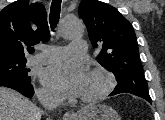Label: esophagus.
<instances>
[{
    "mask_svg": "<svg viewBox=\"0 0 165 120\" xmlns=\"http://www.w3.org/2000/svg\"><path fill=\"white\" fill-rule=\"evenodd\" d=\"M73 117H74V115H73L72 113H69V112H68V113H65L63 119H64V120H72Z\"/></svg>",
    "mask_w": 165,
    "mask_h": 120,
    "instance_id": "esophagus-1",
    "label": "esophagus"
}]
</instances>
